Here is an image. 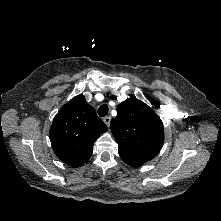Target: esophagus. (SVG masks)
Returning a JSON list of instances; mask_svg holds the SVG:
<instances>
[{
	"label": "esophagus",
	"mask_w": 221,
	"mask_h": 221,
	"mask_svg": "<svg viewBox=\"0 0 221 221\" xmlns=\"http://www.w3.org/2000/svg\"><path fill=\"white\" fill-rule=\"evenodd\" d=\"M104 123L109 126L110 125V121H111V117L110 116H106L103 118Z\"/></svg>",
	"instance_id": "1"
}]
</instances>
